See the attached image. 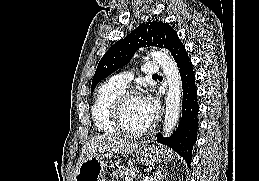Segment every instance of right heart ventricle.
Instances as JSON below:
<instances>
[{
    "mask_svg": "<svg viewBox=\"0 0 259 181\" xmlns=\"http://www.w3.org/2000/svg\"><path fill=\"white\" fill-rule=\"evenodd\" d=\"M124 91L111 81L101 84L95 93L91 116L96 129L103 134H118L119 130L113 119V105L116 98Z\"/></svg>",
    "mask_w": 259,
    "mask_h": 181,
    "instance_id": "e07e8e85",
    "label": "right heart ventricle"
}]
</instances>
